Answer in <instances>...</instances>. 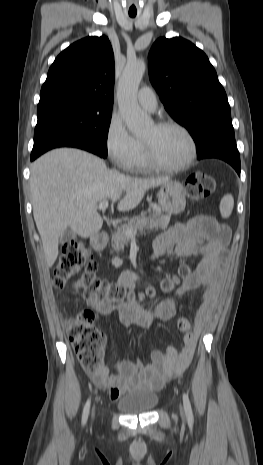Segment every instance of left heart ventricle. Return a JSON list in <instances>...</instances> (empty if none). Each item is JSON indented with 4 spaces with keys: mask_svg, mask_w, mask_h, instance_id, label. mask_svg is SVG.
Returning a JSON list of instances; mask_svg holds the SVG:
<instances>
[{
    "mask_svg": "<svg viewBox=\"0 0 263 465\" xmlns=\"http://www.w3.org/2000/svg\"><path fill=\"white\" fill-rule=\"evenodd\" d=\"M141 140L150 144L157 158L167 165L184 162L191 151L188 138L176 128L157 129L151 125Z\"/></svg>",
    "mask_w": 263,
    "mask_h": 465,
    "instance_id": "b2bd125f",
    "label": "left heart ventricle"
}]
</instances>
